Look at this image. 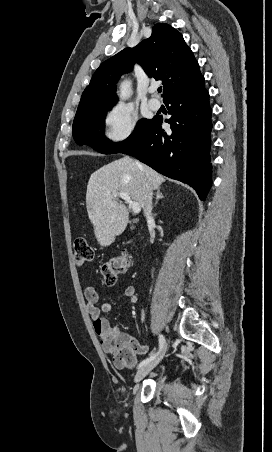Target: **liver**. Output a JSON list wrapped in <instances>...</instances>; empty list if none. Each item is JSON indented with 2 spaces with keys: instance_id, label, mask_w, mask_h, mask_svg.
<instances>
[{
  "instance_id": "1",
  "label": "liver",
  "mask_w": 272,
  "mask_h": 452,
  "mask_svg": "<svg viewBox=\"0 0 272 452\" xmlns=\"http://www.w3.org/2000/svg\"><path fill=\"white\" fill-rule=\"evenodd\" d=\"M165 178L147 165L125 156L110 162L91 174L86 193L88 217L101 246H108L121 234L129 221V213L119 200L118 192L144 207V184L158 189Z\"/></svg>"
}]
</instances>
